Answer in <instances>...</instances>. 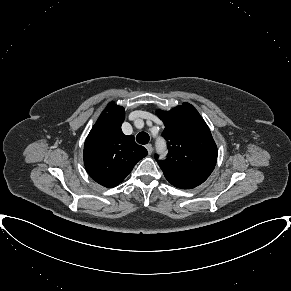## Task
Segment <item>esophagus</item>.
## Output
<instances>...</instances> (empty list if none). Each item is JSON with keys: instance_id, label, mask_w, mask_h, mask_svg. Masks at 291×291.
Instances as JSON below:
<instances>
[{"instance_id": "obj_1", "label": "esophagus", "mask_w": 291, "mask_h": 291, "mask_svg": "<svg viewBox=\"0 0 291 291\" xmlns=\"http://www.w3.org/2000/svg\"><path fill=\"white\" fill-rule=\"evenodd\" d=\"M145 148L147 149L148 154L151 155L152 154V151H153L152 145L151 144H147L145 146Z\"/></svg>"}]
</instances>
